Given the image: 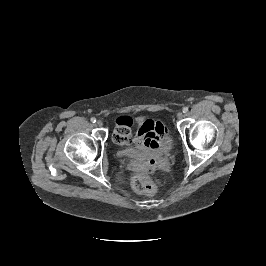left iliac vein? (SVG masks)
Wrapping results in <instances>:
<instances>
[{"label":"left iliac vein","instance_id":"1","mask_svg":"<svg viewBox=\"0 0 266 266\" xmlns=\"http://www.w3.org/2000/svg\"><path fill=\"white\" fill-rule=\"evenodd\" d=\"M177 118L178 119H183L184 118V114L182 112H178L177 113Z\"/></svg>","mask_w":266,"mask_h":266}]
</instances>
